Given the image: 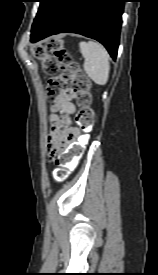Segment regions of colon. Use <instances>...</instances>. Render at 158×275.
I'll list each match as a JSON object with an SVG mask.
<instances>
[{
    "label": "colon",
    "instance_id": "1",
    "mask_svg": "<svg viewBox=\"0 0 158 275\" xmlns=\"http://www.w3.org/2000/svg\"><path fill=\"white\" fill-rule=\"evenodd\" d=\"M32 53L40 60L44 72L52 76L46 88L47 96L52 102L67 90L74 93L78 106L76 123L87 136L94 125L90 79L74 63L71 55L66 51L62 38L51 37L46 41L45 46H33ZM85 143L86 137L79 139L57 156L56 168L52 172L54 179L63 180L67 177L81 158Z\"/></svg>",
    "mask_w": 158,
    "mask_h": 275
}]
</instances>
